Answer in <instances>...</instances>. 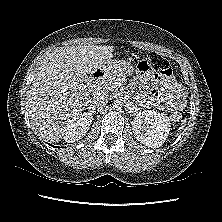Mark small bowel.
<instances>
[{
  "label": "small bowel",
  "instance_id": "1",
  "mask_svg": "<svg viewBox=\"0 0 222 222\" xmlns=\"http://www.w3.org/2000/svg\"><path fill=\"white\" fill-rule=\"evenodd\" d=\"M148 86H151L152 90L150 96L146 97ZM137 91L148 106L161 110L181 109L185 103V91L175 81L170 68L160 75L141 74L137 81Z\"/></svg>",
  "mask_w": 222,
  "mask_h": 222
}]
</instances>
